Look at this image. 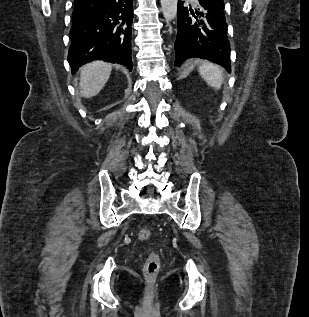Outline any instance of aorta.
I'll list each match as a JSON object with an SVG mask.
<instances>
[{
	"mask_svg": "<svg viewBox=\"0 0 309 317\" xmlns=\"http://www.w3.org/2000/svg\"><path fill=\"white\" fill-rule=\"evenodd\" d=\"M178 0H161L163 16L167 21H171L177 14Z\"/></svg>",
	"mask_w": 309,
	"mask_h": 317,
	"instance_id": "obj_1",
	"label": "aorta"
}]
</instances>
